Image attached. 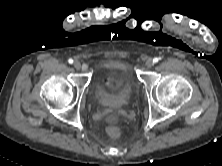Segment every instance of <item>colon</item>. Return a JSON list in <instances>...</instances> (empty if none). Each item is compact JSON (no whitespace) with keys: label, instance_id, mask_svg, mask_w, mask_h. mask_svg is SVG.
Instances as JSON below:
<instances>
[{"label":"colon","instance_id":"obj_1","mask_svg":"<svg viewBox=\"0 0 222 166\" xmlns=\"http://www.w3.org/2000/svg\"><path fill=\"white\" fill-rule=\"evenodd\" d=\"M107 133L112 138H117L121 135V128L118 125H110L107 127Z\"/></svg>","mask_w":222,"mask_h":166}]
</instances>
